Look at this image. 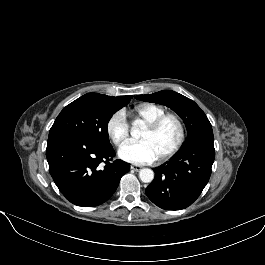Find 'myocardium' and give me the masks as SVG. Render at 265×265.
<instances>
[{"mask_svg":"<svg viewBox=\"0 0 265 265\" xmlns=\"http://www.w3.org/2000/svg\"><path fill=\"white\" fill-rule=\"evenodd\" d=\"M170 118L174 119L179 126V137H178V140L176 141V143L170 149H168L162 155L158 156L159 160H164V159L171 157L177 151H179V149L183 146V144L186 140V135H187L185 122L176 113H165V114L159 116L158 118L154 119L153 121L147 123L144 127L145 129H147L149 131H155L161 126V124L164 121H166L167 119H170Z\"/></svg>","mask_w":265,"mask_h":265,"instance_id":"obj_1","label":"myocardium"}]
</instances>
